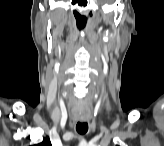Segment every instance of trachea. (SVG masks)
I'll use <instances>...</instances> for the list:
<instances>
[{"mask_svg":"<svg viewBox=\"0 0 164 146\" xmlns=\"http://www.w3.org/2000/svg\"><path fill=\"white\" fill-rule=\"evenodd\" d=\"M76 130L79 134L84 135L88 131V124L85 122H78L76 125Z\"/></svg>","mask_w":164,"mask_h":146,"instance_id":"trachea-1","label":"trachea"}]
</instances>
